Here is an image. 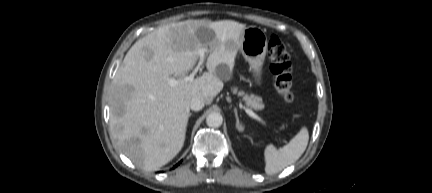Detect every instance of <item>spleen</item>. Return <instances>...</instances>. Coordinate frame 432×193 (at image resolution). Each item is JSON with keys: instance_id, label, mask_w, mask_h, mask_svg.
I'll return each instance as SVG.
<instances>
[{"instance_id": "obj_1", "label": "spleen", "mask_w": 432, "mask_h": 193, "mask_svg": "<svg viewBox=\"0 0 432 193\" xmlns=\"http://www.w3.org/2000/svg\"><path fill=\"white\" fill-rule=\"evenodd\" d=\"M309 141V133L303 127L299 133L283 148L277 149L272 144L265 148V172L276 174L295 163L304 153Z\"/></svg>"}]
</instances>
